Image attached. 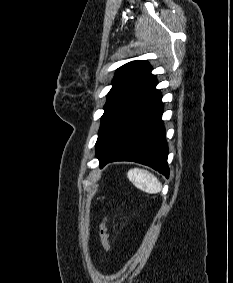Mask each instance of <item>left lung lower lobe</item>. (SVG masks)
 <instances>
[{
	"label": "left lung lower lobe",
	"instance_id": "1",
	"mask_svg": "<svg viewBox=\"0 0 233 283\" xmlns=\"http://www.w3.org/2000/svg\"><path fill=\"white\" fill-rule=\"evenodd\" d=\"M154 78L135 104L96 151L102 168L113 161H134L148 165L169 177L168 146L162 121L163 103Z\"/></svg>",
	"mask_w": 233,
	"mask_h": 283
}]
</instances>
